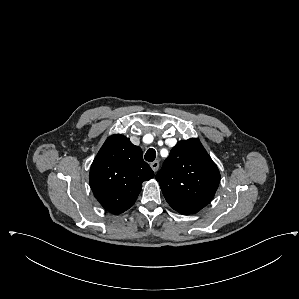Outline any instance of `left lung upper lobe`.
Wrapping results in <instances>:
<instances>
[{
	"instance_id": "left-lung-upper-lobe-1",
	"label": "left lung upper lobe",
	"mask_w": 299,
	"mask_h": 299,
	"mask_svg": "<svg viewBox=\"0 0 299 299\" xmlns=\"http://www.w3.org/2000/svg\"><path fill=\"white\" fill-rule=\"evenodd\" d=\"M169 205L183 215L197 213L214 197L220 173L198 139L179 141L156 175Z\"/></svg>"
}]
</instances>
